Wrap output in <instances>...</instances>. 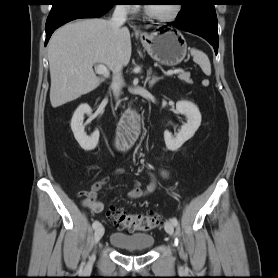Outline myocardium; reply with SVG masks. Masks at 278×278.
Masks as SVG:
<instances>
[{
  "label": "myocardium",
  "mask_w": 278,
  "mask_h": 278,
  "mask_svg": "<svg viewBox=\"0 0 278 278\" xmlns=\"http://www.w3.org/2000/svg\"><path fill=\"white\" fill-rule=\"evenodd\" d=\"M144 11L145 14L148 18L159 21V22H172L175 19L178 18V16L180 15L181 11H182V5L179 3L174 4V9L172 11V13L168 14V15H159L156 13H153L149 6H145L144 7Z\"/></svg>",
  "instance_id": "f54148a6"
}]
</instances>
